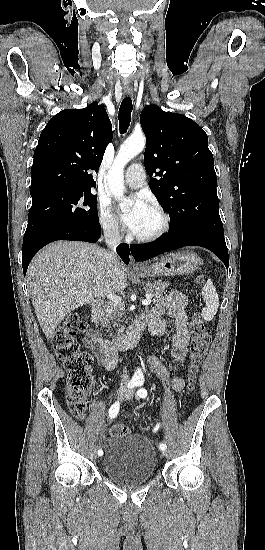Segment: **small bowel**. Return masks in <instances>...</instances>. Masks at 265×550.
I'll use <instances>...</instances> for the list:
<instances>
[{
	"instance_id": "obj_1",
	"label": "small bowel",
	"mask_w": 265,
	"mask_h": 550,
	"mask_svg": "<svg viewBox=\"0 0 265 550\" xmlns=\"http://www.w3.org/2000/svg\"><path fill=\"white\" fill-rule=\"evenodd\" d=\"M186 296L178 290L169 291L159 303L148 313V327L150 332L158 337L167 338L172 346V359L176 366L185 364L189 345V332L185 307ZM167 317L174 322L173 331L168 330ZM83 344L90 348L97 356L99 364L106 370H113L118 361L116 350L105 339L100 338L92 330L85 333ZM147 364L150 369L163 381L168 380V372L161 361L155 357H149ZM185 378L179 375L172 379L171 385L174 391L180 392L185 387Z\"/></svg>"
}]
</instances>
